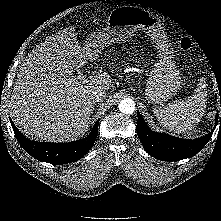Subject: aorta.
<instances>
[{"mask_svg":"<svg viewBox=\"0 0 221 221\" xmlns=\"http://www.w3.org/2000/svg\"><path fill=\"white\" fill-rule=\"evenodd\" d=\"M119 110L124 114H132L135 111V103L130 98H125L119 103Z\"/></svg>","mask_w":221,"mask_h":221,"instance_id":"762f6f07","label":"aorta"}]
</instances>
